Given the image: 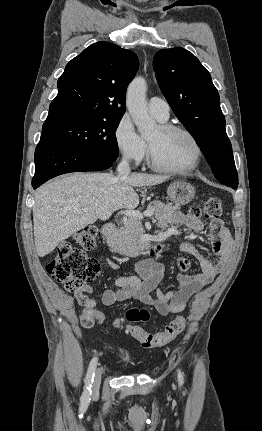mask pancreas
I'll return each instance as SVG.
<instances>
[{"instance_id": "obj_1", "label": "pancreas", "mask_w": 262, "mask_h": 431, "mask_svg": "<svg viewBox=\"0 0 262 431\" xmlns=\"http://www.w3.org/2000/svg\"><path fill=\"white\" fill-rule=\"evenodd\" d=\"M177 209L160 201H154L147 206V211L153 212L157 220L164 222L169 220ZM144 233L141 222L138 219L129 218L115 232L110 247L113 252L119 254L138 255L147 245V242L141 239Z\"/></svg>"}]
</instances>
